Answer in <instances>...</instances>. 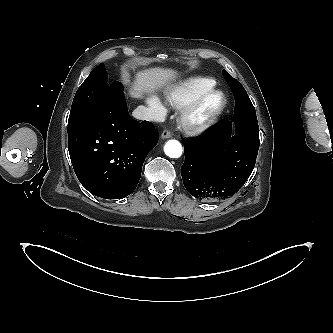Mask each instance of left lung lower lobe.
<instances>
[{
  "label": "left lung lower lobe",
  "instance_id": "obj_1",
  "mask_svg": "<svg viewBox=\"0 0 333 333\" xmlns=\"http://www.w3.org/2000/svg\"><path fill=\"white\" fill-rule=\"evenodd\" d=\"M258 126V125H257ZM258 138L247 127L221 121L201 136L185 139L181 174L185 188L195 198L214 202L239 191L255 166Z\"/></svg>",
  "mask_w": 333,
  "mask_h": 333
}]
</instances>
